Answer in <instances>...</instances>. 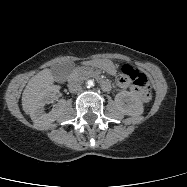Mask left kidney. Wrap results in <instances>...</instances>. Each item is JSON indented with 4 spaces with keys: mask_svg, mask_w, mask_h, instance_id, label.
Instances as JSON below:
<instances>
[{
    "mask_svg": "<svg viewBox=\"0 0 187 187\" xmlns=\"http://www.w3.org/2000/svg\"><path fill=\"white\" fill-rule=\"evenodd\" d=\"M115 103L121 113L125 115L139 116L144 111L142 101L136 95L128 91L118 93L115 97Z\"/></svg>",
    "mask_w": 187,
    "mask_h": 187,
    "instance_id": "obj_1",
    "label": "left kidney"
}]
</instances>
